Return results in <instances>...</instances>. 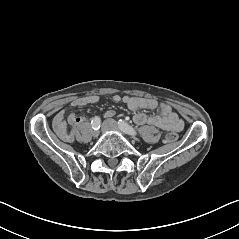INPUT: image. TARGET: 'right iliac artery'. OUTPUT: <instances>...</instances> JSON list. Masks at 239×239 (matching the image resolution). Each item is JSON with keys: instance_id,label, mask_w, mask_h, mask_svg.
I'll return each mask as SVG.
<instances>
[{"instance_id": "82829eb1", "label": "right iliac artery", "mask_w": 239, "mask_h": 239, "mask_svg": "<svg viewBox=\"0 0 239 239\" xmlns=\"http://www.w3.org/2000/svg\"><path fill=\"white\" fill-rule=\"evenodd\" d=\"M91 125H92V128L94 130H99L100 126H101V120L98 116H95L92 121H91Z\"/></svg>"}]
</instances>
